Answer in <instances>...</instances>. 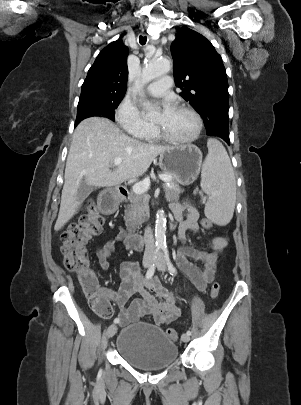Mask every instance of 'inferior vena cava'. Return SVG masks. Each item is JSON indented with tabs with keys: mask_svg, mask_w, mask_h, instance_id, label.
<instances>
[{
	"mask_svg": "<svg viewBox=\"0 0 301 405\" xmlns=\"http://www.w3.org/2000/svg\"><path fill=\"white\" fill-rule=\"evenodd\" d=\"M145 254H152L155 251V241L152 229L147 226L144 232Z\"/></svg>",
	"mask_w": 301,
	"mask_h": 405,
	"instance_id": "1",
	"label": "inferior vena cava"
}]
</instances>
